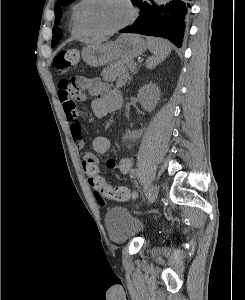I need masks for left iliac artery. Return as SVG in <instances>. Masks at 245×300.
Instances as JSON below:
<instances>
[{
  "label": "left iliac artery",
  "instance_id": "obj_1",
  "mask_svg": "<svg viewBox=\"0 0 245 300\" xmlns=\"http://www.w3.org/2000/svg\"><path fill=\"white\" fill-rule=\"evenodd\" d=\"M136 174H137L136 171H133L132 177H133V176H136Z\"/></svg>",
  "mask_w": 245,
  "mask_h": 300
}]
</instances>
